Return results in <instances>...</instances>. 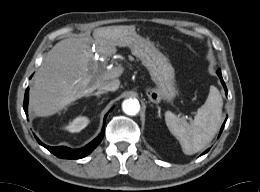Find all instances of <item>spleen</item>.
Returning <instances> with one entry per match:
<instances>
[{"label":"spleen","mask_w":260,"mask_h":192,"mask_svg":"<svg viewBox=\"0 0 260 192\" xmlns=\"http://www.w3.org/2000/svg\"><path fill=\"white\" fill-rule=\"evenodd\" d=\"M222 107L221 94L215 86H211L205 103L197 110L191 123L171 111L165 112L166 125L185 154H195L212 141L222 123Z\"/></svg>","instance_id":"spleen-1"}]
</instances>
